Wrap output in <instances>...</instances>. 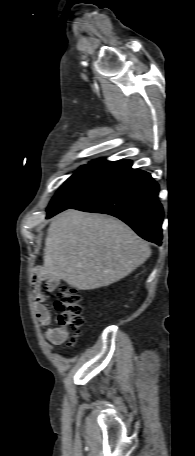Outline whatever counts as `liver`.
<instances>
[{
    "mask_svg": "<svg viewBox=\"0 0 195 456\" xmlns=\"http://www.w3.org/2000/svg\"><path fill=\"white\" fill-rule=\"evenodd\" d=\"M150 255L149 245L122 221L66 210L48 228L41 274L91 290L123 279Z\"/></svg>",
    "mask_w": 195,
    "mask_h": 456,
    "instance_id": "liver-1",
    "label": "liver"
}]
</instances>
